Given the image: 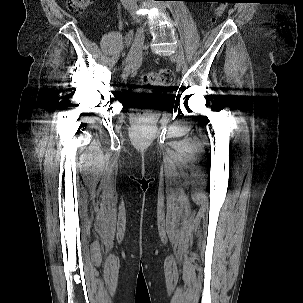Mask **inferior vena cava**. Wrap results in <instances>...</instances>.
Here are the masks:
<instances>
[{
    "mask_svg": "<svg viewBox=\"0 0 303 303\" xmlns=\"http://www.w3.org/2000/svg\"><path fill=\"white\" fill-rule=\"evenodd\" d=\"M125 9H127L132 15L137 9V0H120Z\"/></svg>",
    "mask_w": 303,
    "mask_h": 303,
    "instance_id": "inferior-vena-cava-1",
    "label": "inferior vena cava"
}]
</instances>
